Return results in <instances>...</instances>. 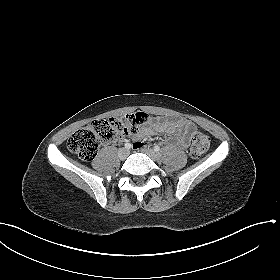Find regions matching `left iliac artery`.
Segmentation results:
<instances>
[{
    "label": "left iliac artery",
    "mask_w": 280,
    "mask_h": 280,
    "mask_svg": "<svg viewBox=\"0 0 280 280\" xmlns=\"http://www.w3.org/2000/svg\"><path fill=\"white\" fill-rule=\"evenodd\" d=\"M154 150H155V151H159V150H160V147H159L158 145H156V146L154 147Z\"/></svg>",
    "instance_id": "1"
}]
</instances>
